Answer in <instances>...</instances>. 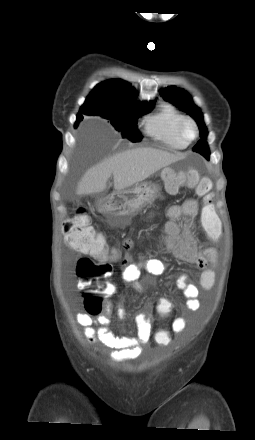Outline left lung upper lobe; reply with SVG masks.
Here are the masks:
<instances>
[{
    "label": "left lung upper lobe",
    "mask_w": 255,
    "mask_h": 440,
    "mask_svg": "<svg viewBox=\"0 0 255 440\" xmlns=\"http://www.w3.org/2000/svg\"><path fill=\"white\" fill-rule=\"evenodd\" d=\"M160 94L166 101L175 104L177 107L187 112L196 120L200 129V137L202 139L199 140L198 143L193 147V151L200 153L207 160H209L210 152L207 142L204 140L208 133L205 124L203 123V115L200 109L193 104L191 97L183 89L171 86L162 89L160 91Z\"/></svg>",
    "instance_id": "obj_1"
}]
</instances>
